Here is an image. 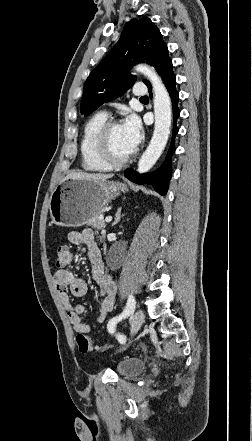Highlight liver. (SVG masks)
Segmentation results:
<instances>
[{
	"label": "liver",
	"instance_id": "liver-1",
	"mask_svg": "<svg viewBox=\"0 0 252 441\" xmlns=\"http://www.w3.org/2000/svg\"><path fill=\"white\" fill-rule=\"evenodd\" d=\"M112 174H102V173H84V172H73L68 174L63 181L68 179H85L93 180L96 182H104L109 178H112Z\"/></svg>",
	"mask_w": 252,
	"mask_h": 441
}]
</instances>
